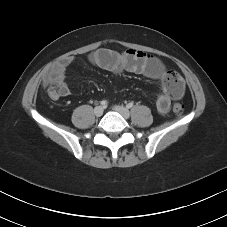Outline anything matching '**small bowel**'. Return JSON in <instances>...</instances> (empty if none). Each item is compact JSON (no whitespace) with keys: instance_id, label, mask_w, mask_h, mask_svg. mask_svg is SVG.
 <instances>
[{"instance_id":"1","label":"small bowel","mask_w":227,"mask_h":227,"mask_svg":"<svg viewBox=\"0 0 227 227\" xmlns=\"http://www.w3.org/2000/svg\"><path fill=\"white\" fill-rule=\"evenodd\" d=\"M89 61L110 72L128 71L161 80L162 87L156 100V108L161 115L169 111L172 100L180 99L183 95L182 79L180 77L178 79L169 78L165 65L157 57L148 53L134 49L116 51L100 48L89 55ZM70 64L71 59H67L52 66L44 75V82L49 84L51 89L49 96L54 100L71 94V90L65 82V71Z\"/></svg>"}]
</instances>
